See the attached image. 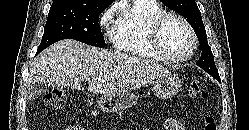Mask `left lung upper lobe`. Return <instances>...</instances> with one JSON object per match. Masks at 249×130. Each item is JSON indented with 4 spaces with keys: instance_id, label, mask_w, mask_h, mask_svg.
Instances as JSON below:
<instances>
[{
    "instance_id": "5c2ea615",
    "label": "left lung upper lobe",
    "mask_w": 249,
    "mask_h": 130,
    "mask_svg": "<svg viewBox=\"0 0 249 130\" xmlns=\"http://www.w3.org/2000/svg\"><path fill=\"white\" fill-rule=\"evenodd\" d=\"M168 8L181 14L194 29L202 54L196 64L213 76L217 81H220L218 70L214 63V57L210 46L207 42L205 26L202 21L200 10L197 7L195 0H161Z\"/></svg>"
}]
</instances>
